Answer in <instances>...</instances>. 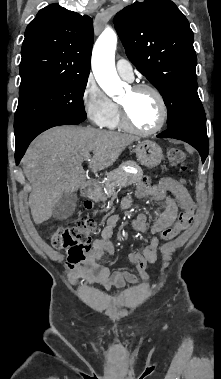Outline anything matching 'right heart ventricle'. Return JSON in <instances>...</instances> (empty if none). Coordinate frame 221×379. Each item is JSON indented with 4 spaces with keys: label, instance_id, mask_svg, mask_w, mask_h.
Segmentation results:
<instances>
[{
    "label": "right heart ventricle",
    "instance_id": "obj_1",
    "mask_svg": "<svg viewBox=\"0 0 221 379\" xmlns=\"http://www.w3.org/2000/svg\"><path fill=\"white\" fill-rule=\"evenodd\" d=\"M121 125L119 107L115 104V111L105 126L109 128H116Z\"/></svg>",
    "mask_w": 221,
    "mask_h": 379
}]
</instances>
